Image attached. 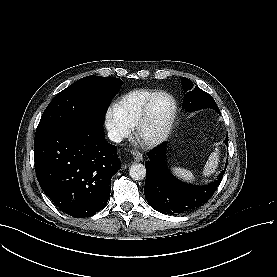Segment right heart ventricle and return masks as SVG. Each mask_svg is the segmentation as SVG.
Returning <instances> with one entry per match:
<instances>
[{"instance_id": "obj_1", "label": "right heart ventricle", "mask_w": 277, "mask_h": 277, "mask_svg": "<svg viewBox=\"0 0 277 277\" xmlns=\"http://www.w3.org/2000/svg\"><path fill=\"white\" fill-rule=\"evenodd\" d=\"M152 94L153 92L150 90L139 89L129 92L116 103L115 107L130 127L137 123Z\"/></svg>"}]
</instances>
